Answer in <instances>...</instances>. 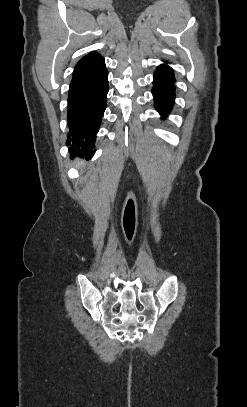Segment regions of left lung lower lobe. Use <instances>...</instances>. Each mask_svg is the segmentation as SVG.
<instances>
[{
  "mask_svg": "<svg viewBox=\"0 0 247 407\" xmlns=\"http://www.w3.org/2000/svg\"><path fill=\"white\" fill-rule=\"evenodd\" d=\"M174 82L176 79L172 68L165 64L158 66L154 74L152 93L156 110L162 118L168 116L175 102Z\"/></svg>",
  "mask_w": 247,
  "mask_h": 407,
  "instance_id": "0a47b994",
  "label": "left lung lower lobe"
}]
</instances>
